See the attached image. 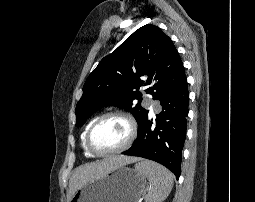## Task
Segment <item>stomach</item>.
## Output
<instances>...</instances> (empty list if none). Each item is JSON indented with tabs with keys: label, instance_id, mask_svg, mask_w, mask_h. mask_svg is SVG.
Returning <instances> with one entry per match:
<instances>
[{
	"label": "stomach",
	"instance_id": "obj_1",
	"mask_svg": "<svg viewBox=\"0 0 255 202\" xmlns=\"http://www.w3.org/2000/svg\"><path fill=\"white\" fill-rule=\"evenodd\" d=\"M146 185L144 174L121 166L84 183L69 202H138Z\"/></svg>",
	"mask_w": 255,
	"mask_h": 202
}]
</instances>
